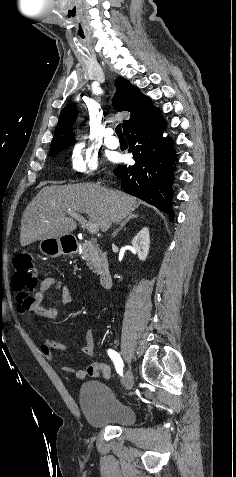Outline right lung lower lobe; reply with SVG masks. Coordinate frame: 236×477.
Returning a JSON list of instances; mask_svg holds the SVG:
<instances>
[{
    "label": "right lung lower lobe",
    "instance_id": "1",
    "mask_svg": "<svg viewBox=\"0 0 236 477\" xmlns=\"http://www.w3.org/2000/svg\"><path fill=\"white\" fill-rule=\"evenodd\" d=\"M166 122L160 117L153 124L135 128L126 134L133 166L119 165L114 174L120 178L122 189L174 216L171 206L174 170L177 155L169 137L164 138Z\"/></svg>",
    "mask_w": 236,
    "mask_h": 477
}]
</instances>
